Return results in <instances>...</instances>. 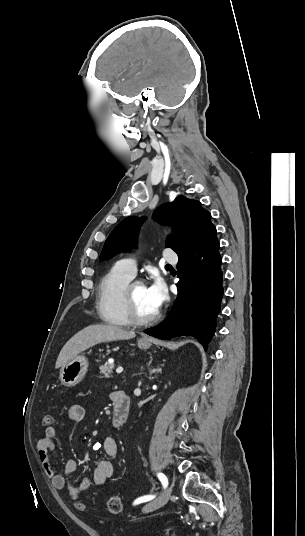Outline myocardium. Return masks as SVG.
<instances>
[{
	"label": "myocardium",
	"instance_id": "1",
	"mask_svg": "<svg viewBox=\"0 0 305 536\" xmlns=\"http://www.w3.org/2000/svg\"><path fill=\"white\" fill-rule=\"evenodd\" d=\"M135 284H141L139 282H135L132 284H128L123 291V305L126 311L127 316L129 317L130 321L136 324H145L152 321H155L160 317V312L156 310L153 314L150 315H142L140 314L135 307L133 306L132 300H131V288ZM142 285V284H141Z\"/></svg>",
	"mask_w": 305,
	"mask_h": 536
}]
</instances>
